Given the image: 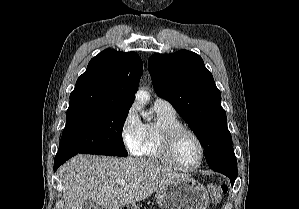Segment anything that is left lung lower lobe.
<instances>
[{
    "instance_id": "obj_1",
    "label": "left lung lower lobe",
    "mask_w": 299,
    "mask_h": 209,
    "mask_svg": "<svg viewBox=\"0 0 299 209\" xmlns=\"http://www.w3.org/2000/svg\"><path fill=\"white\" fill-rule=\"evenodd\" d=\"M210 168L229 177L231 185L233 186L238 173L237 161L233 148L223 155L220 160Z\"/></svg>"
}]
</instances>
